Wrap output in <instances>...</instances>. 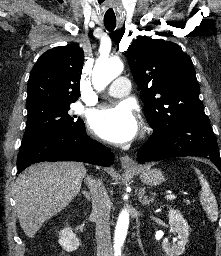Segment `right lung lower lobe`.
<instances>
[{"instance_id": "right-lung-lower-lobe-1", "label": "right lung lower lobe", "mask_w": 221, "mask_h": 256, "mask_svg": "<svg viewBox=\"0 0 221 256\" xmlns=\"http://www.w3.org/2000/svg\"><path fill=\"white\" fill-rule=\"evenodd\" d=\"M85 131V127L54 130L21 144L17 159L18 173L31 164L43 161H79L111 166L113 153L106 146L93 141Z\"/></svg>"}]
</instances>
